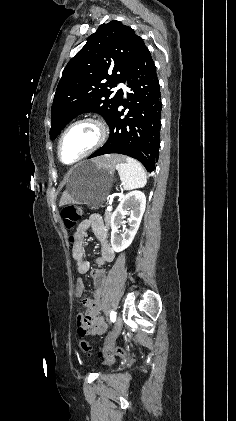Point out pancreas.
<instances>
[{
    "label": "pancreas",
    "mask_w": 236,
    "mask_h": 421,
    "mask_svg": "<svg viewBox=\"0 0 236 421\" xmlns=\"http://www.w3.org/2000/svg\"><path fill=\"white\" fill-rule=\"evenodd\" d=\"M110 217H111V213H109V211H106V213H105V223H107V225L110 221Z\"/></svg>",
    "instance_id": "obj_1"
}]
</instances>
